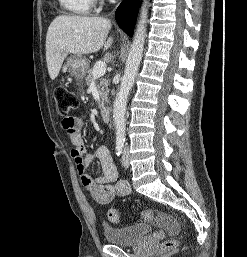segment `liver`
Listing matches in <instances>:
<instances>
[{"label": "liver", "instance_id": "liver-1", "mask_svg": "<svg viewBox=\"0 0 247 257\" xmlns=\"http://www.w3.org/2000/svg\"><path fill=\"white\" fill-rule=\"evenodd\" d=\"M110 20L102 17L60 15L50 24L46 36V61L49 76L54 80L68 54L82 56L111 47L113 38L106 41Z\"/></svg>", "mask_w": 247, "mask_h": 257}]
</instances>
